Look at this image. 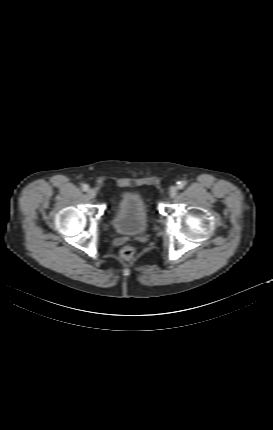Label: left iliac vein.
<instances>
[{"instance_id":"left-iliac-vein-1","label":"left iliac vein","mask_w":273,"mask_h":430,"mask_svg":"<svg viewBox=\"0 0 273 430\" xmlns=\"http://www.w3.org/2000/svg\"><path fill=\"white\" fill-rule=\"evenodd\" d=\"M169 194L171 198H174L177 195V188L175 186H172L169 190Z\"/></svg>"}]
</instances>
